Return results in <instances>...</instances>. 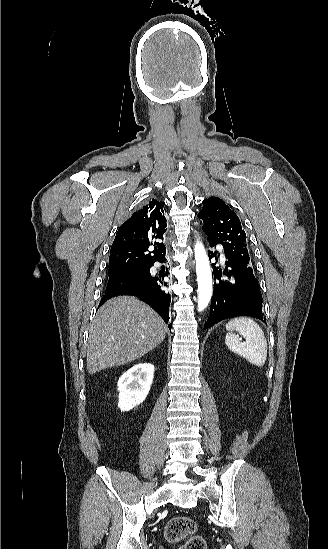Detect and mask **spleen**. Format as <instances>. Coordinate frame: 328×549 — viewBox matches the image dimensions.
I'll list each match as a JSON object with an SVG mask.
<instances>
[{"instance_id":"spleen-1","label":"spleen","mask_w":328,"mask_h":549,"mask_svg":"<svg viewBox=\"0 0 328 549\" xmlns=\"http://www.w3.org/2000/svg\"><path fill=\"white\" fill-rule=\"evenodd\" d=\"M227 331H237L245 337L244 343H240L239 337L234 333H226L225 343L236 355H240L251 365L264 367L267 357V341L259 325L249 317H235L226 325Z\"/></svg>"}]
</instances>
